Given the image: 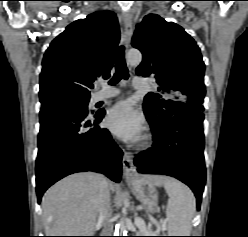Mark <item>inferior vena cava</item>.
I'll return each instance as SVG.
<instances>
[{
	"instance_id": "obj_1",
	"label": "inferior vena cava",
	"mask_w": 248,
	"mask_h": 237,
	"mask_svg": "<svg viewBox=\"0 0 248 237\" xmlns=\"http://www.w3.org/2000/svg\"><path fill=\"white\" fill-rule=\"evenodd\" d=\"M99 221L103 224L102 236H111L113 232L110 188L106 178H102L99 192Z\"/></svg>"
}]
</instances>
